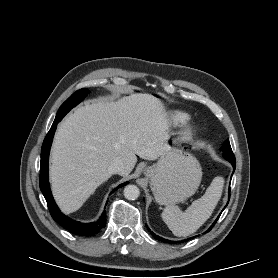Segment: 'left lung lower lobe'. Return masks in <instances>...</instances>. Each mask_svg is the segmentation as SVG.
<instances>
[{"mask_svg": "<svg viewBox=\"0 0 278 278\" xmlns=\"http://www.w3.org/2000/svg\"><path fill=\"white\" fill-rule=\"evenodd\" d=\"M231 164H232V166H233V168H234V170H235V164H236V162H234V161H229ZM229 198H230V193H229ZM227 206V205H226ZM218 220V218L216 219V221ZM216 221L212 224V226L208 229V231H210L211 229H212V227L215 225V223H216ZM148 228V227H147ZM148 230L150 231V229L148 228ZM208 231H206V232H208ZM151 234L156 238V239H158V240H160V241H163V242H166V243H174V241H169V240H166V239H164V238H161V237H159V236H157L156 234H154L153 232H151ZM191 239V238H190ZM187 240H189V239H186V240H184V241H187ZM182 242V241H181Z\"/></svg>", "mask_w": 278, "mask_h": 278, "instance_id": "left-lung-lower-lobe-1", "label": "left lung lower lobe"}]
</instances>
